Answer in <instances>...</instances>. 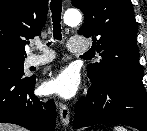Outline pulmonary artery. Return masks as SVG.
<instances>
[{"instance_id":"obj_1","label":"pulmonary artery","mask_w":147,"mask_h":131,"mask_svg":"<svg viewBox=\"0 0 147 131\" xmlns=\"http://www.w3.org/2000/svg\"><path fill=\"white\" fill-rule=\"evenodd\" d=\"M37 49L41 50V54H31L26 59L27 67H36L49 63L53 60L54 54L51 50L46 48L42 43L35 42ZM68 49L72 53H85L89 50V45L86 41L80 38H71L68 42Z\"/></svg>"}]
</instances>
